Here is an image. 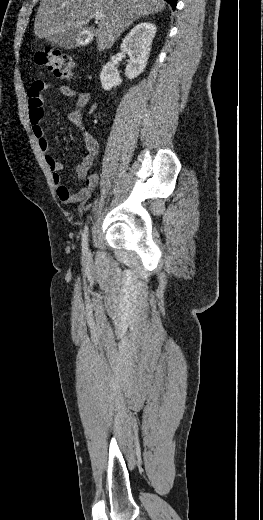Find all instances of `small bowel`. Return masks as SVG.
I'll return each instance as SVG.
<instances>
[{
    "mask_svg": "<svg viewBox=\"0 0 263 520\" xmlns=\"http://www.w3.org/2000/svg\"><path fill=\"white\" fill-rule=\"evenodd\" d=\"M51 87L52 85L49 82L36 80L31 83L28 89L29 119L32 132L37 139L39 148L45 153V162L51 172L52 180L57 187L59 199L64 203L82 202L91 195L99 181V175L97 173L89 172L98 154L99 144L96 138L85 129L80 111V109L89 102L90 94L87 91L76 90L68 85L58 87L60 94L74 100L75 109L69 113L68 120L80 129L87 152L82 162L75 168L78 178L84 180L85 185L78 191L73 192L69 187L63 184L60 173L63 168L61 162L48 154L50 146L42 127L44 116L43 93Z\"/></svg>",
    "mask_w": 263,
    "mask_h": 520,
    "instance_id": "obj_1",
    "label": "small bowel"
}]
</instances>
